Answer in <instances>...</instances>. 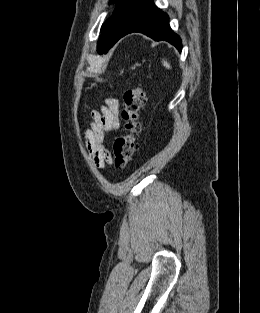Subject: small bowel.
<instances>
[{
  "label": "small bowel",
  "mask_w": 260,
  "mask_h": 313,
  "mask_svg": "<svg viewBox=\"0 0 260 313\" xmlns=\"http://www.w3.org/2000/svg\"><path fill=\"white\" fill-rule=\"evenodd\" d=\"M120 102L117 98L105 99L100 110L90 114V124L85 131L86 146L93 164L103 169L106 164L112 163V155L104 145L105 134L119 130Z\"/></svg>",
  "instance_id": "c3829d8e"
}]
</instances>
